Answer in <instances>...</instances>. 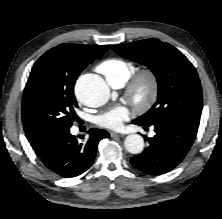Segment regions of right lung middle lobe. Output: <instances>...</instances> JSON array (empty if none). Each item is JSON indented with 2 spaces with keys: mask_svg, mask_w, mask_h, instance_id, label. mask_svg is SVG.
<instances>
[{
  "mask_svg": "<svg viewBox=\"0 0 222 219\" xmlns=\"http://www.w3.org/2000/svg\"><path fill=\"white\" fill-rule=\"evenodd\" d=\"M70 57L64 49L52 48L34 64L22 101L24 127L57 134L71 127L75 119L74 108L78 104L72 77L69 78L65 73V69L71 65ZM99 57L85 59L82 69Z\"/></svg>",
  "mask_w": 222,
  "mask_h": 219,
  "instance_id": "right-lung-middle-lobe-1",
  "label": "right lung middle lobe"
}]
</instances>
